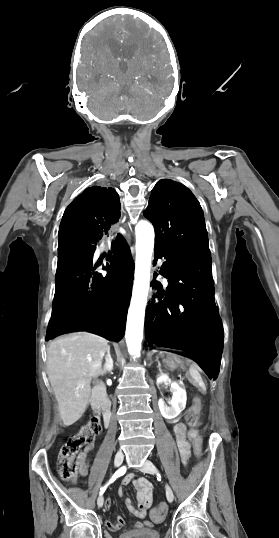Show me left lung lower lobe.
Here are the masks:
<instances>
[{
	"label": "left lung lower lobe",
	"mask_w": 279,
	"mask_h": 538,
	"mask_svg": "<svg viewBox=\"0 0 279 538\" xmlns=\"http://www.w3.org/2000/svg\"><path fill=\"white\" fill-rule=\"evenodd\" d=\"M155 261H165L160 273L166 290L153 280L158 293L147 306L149 345L181 349L199 360L209 379L217 376L223 348V326L214 300L212 262L208 257L186 258L156 247Z\"/></svg>",
	"instance_id": "1"
}]
</instances>
